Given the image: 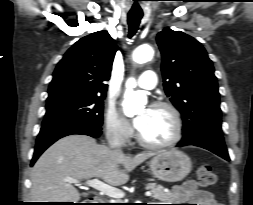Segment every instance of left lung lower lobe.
<instances>
[{
	"label": "left lung lower lobe",
	"instance_id": "1",
	"mask_svg": "<svg viewBox=\"0 0 253 205\" xmlns=\"http://www.w3.org/2000/svg\"><path fill=\"white\" fill-rule=\"evenodd\" d=\"M187 145L202 147L224 158L225 160L230 161L222 133L215 131H206L201 133L199 136H197L190 142L180 141L177 144V147Z\"/></svg>",
	"mask_w": 253,
	"mask_h": 205
}]
</instances>
